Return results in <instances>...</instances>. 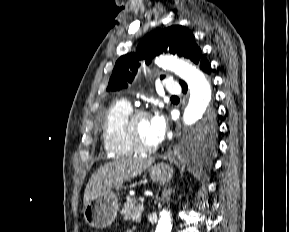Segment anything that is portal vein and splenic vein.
<instances>
[{"label": "portal vein and splenic vein", "mask_w": 289, "mask_h": 232, "mask_svg": "<svg viewBox=\"0 0 289 232\" xmlns=\"http://www.w3.org/2000/svg\"><path fill=\"white\" fill-rule=\"evenodd\" d=\"M139 201L143 203V202H144V198H143V197H140V198H139Z\"/></svg>", "instance_id": "obj_1"}]
</instances>
